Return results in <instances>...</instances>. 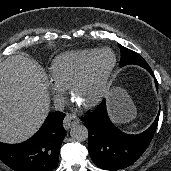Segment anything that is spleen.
<instances>
[{
    "label": "spleen",
    "mask_w": 171,
    "mask_h": 171,
    "mask_svg": "<svg viewBox=\"0 0 171 171\" xmlns=\"http://www.w3.org/2000/svg\"><path fill=\"white\" fill-rule=\"evenodd\" d=\"M137 124H133L132 126H130V127H127L126 128V131H128V132H132L134 129H136L137 128Z\"/></svg>",
    "instance_id": "1"
}]
</instances>
